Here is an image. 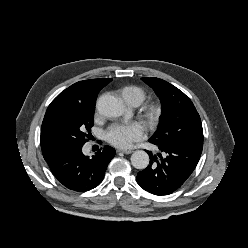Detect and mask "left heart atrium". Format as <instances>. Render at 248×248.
I'll use <instances>...</instances> for the list:
<instances>
[{
  "instance_id": "left-heart-atrium-1",
  "label": "left heart atrium",
  "mask_w": 248,
  "mask_h": 248,
  "mask_svg": "<svg viewBox=\"0 0 248 248\" xmlns=\"http://www.w3.org/2000/svg\"><path fill=\"white\" fill-rule=\"evenodd\" d=\"M145 137V128L141 123L118 124L111 126L106 138L112 145L125 149L133 145V143Z\"/></svg>"
}]
</instances>
